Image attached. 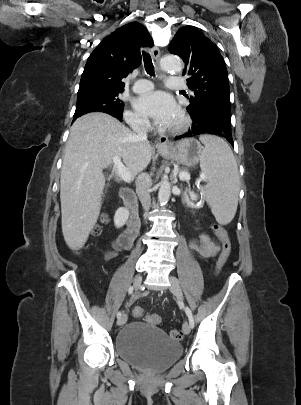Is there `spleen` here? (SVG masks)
Returning <instances> with one entry per match:
<instances>
[{"label":"spleen","mask_w":301,"mask_h":405,"mask_svg":"<svg viewBox=\"0 0 301 405\" xmlns=\"http://www.w3.org/2000/svg\"><path fill=\"white\" fill-rule=\"evenodd\" d=\"M204 149L200 157L207 202L216 220L226 225L235 216L238 205L240 177L234 155L228 144L217 136L203 135Z\"/></svg>","instance_id":"1"}]
</instances>
